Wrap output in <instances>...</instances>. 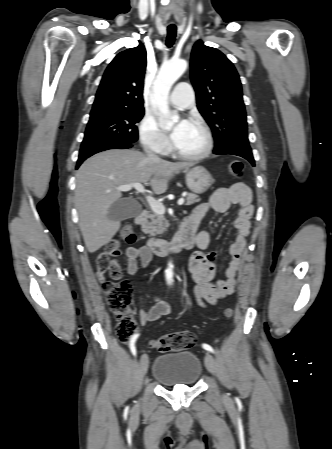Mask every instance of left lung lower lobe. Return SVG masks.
Segmentation results:
<instances>
[{
	"label": "left lung lower lobe",
	"instance_id": "obj_1",
	"mask_svg": "<svg viewBox=\"0 0 332 449\" xmlns=\"http://www.w3.org/2000/svg\"><path fill=\"white\" fill-rule=\"evenodd\" d=\"M214 154H232L243 157L247 159L253 166H255V161L252 155V150L250 147H245L241 145H234L220 150H214Z\"/></svg>",
	"mask_w": 332,
	"mask_h": 449
}]
</instances>
